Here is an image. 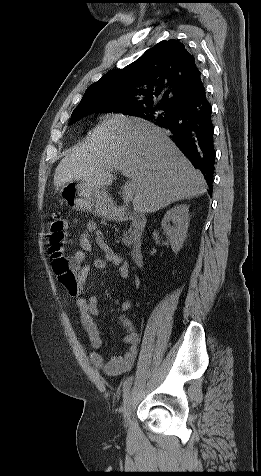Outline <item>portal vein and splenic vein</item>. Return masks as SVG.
Here are the masks:
<instances>
[{
	"label": "portal vein and splenic vein",
	"mask_w": 261,
	"mask_h": 476,
	"mask_svg": "<svg viewBox=\"0 0 261 476\" xmlns=\"http://www.w3.org/2000/svg\"><path fill=\"white\" fill-rule=\"evenodd\" d=\"M134 192L132 190V184L130 182L125 183L122 191V199L124 202H130L133 198Z\"/></svg>",
	"instance_id": "portal-vein-and-splenic-vein-1"
}]
</instances>
